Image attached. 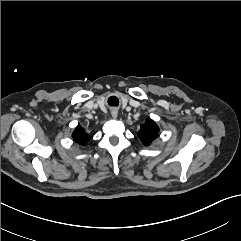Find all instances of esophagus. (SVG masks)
Listing matches in <instances>:
<instances>
[{
	"instance_id": "obj_1",
	"label": "esophagus",
	"mask_w": 241,
	"mask_h": 241,
	"mask_svg": "<svg viewBox=\"0 0 241 241\" xmlns=\"http://www.w3.org/2000/svg\"><path fill=\"white\" fill-rule=\"evenodd\" d=\"M111 115H112L113 118H116L118 116L117 109L113 108L112 111H111Z\"/></svg>"
}]
</instances>
